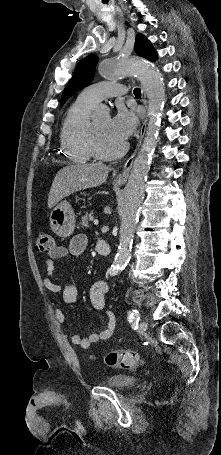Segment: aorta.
Here are the masks:
<instances>
[{"mask_svg": "<svg viewBox=\"0 0 221 455\" xmlns=\"http://www.w3.org/2000/svg\"><path fill=\"white\" fill-rule=\"evenodd\" d=\"M100 75L107 80H118L126 76H137L148 98V124L141 150L134 160L129 175L124 204L120 212L121 225L119 246L111 270L117 273L124 269L131 257V248L140 207L144 198L145 181L157 137L165 104V89L162 74L152 63L135 57L105 60L99 66ZM108 108L100 105L94 117L108 114Z\"/></svg>", "mask_w": 221, "mask_h": 455, "instance_id": "1", "label": "aorta"}]
</instances>
